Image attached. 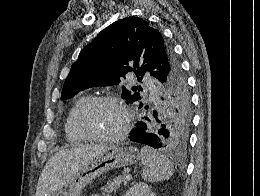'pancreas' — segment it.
Segmentation results:
<instances>
[{"label":"pancreas","mask_w":260,"mask_h":196,"mask_svg":"<svg viewBox=\"0 0 260 196\" xmlns=\"http://www.w3.org/2000/svg\"><path fill=\"white\" fill-rule=\"evenodd\" d=\"M124 178L125 176H118V178H113L112 182H107V184H105L101 190H103L106 196H108V194H112V192H116V190L120 188V184H127Z\"/></svg>","instance_id":"pancreas-1"}]
</instances>
